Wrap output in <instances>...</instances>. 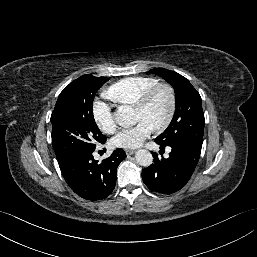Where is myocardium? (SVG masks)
<instances>
[{"label":"myocardium","instance_id":"myocardium-1","mask_svg":"<svg viewBox=\"0 0 257 257\" xmlns=\"http://www.w3.org/2000/svg\"><path fill=\"white\" fill-rule=\"evenodd\" d=\"M161 91L166 92L168 95L169 108H168V113L165 120L159 126L153 128L155 132L165 131L173 121V118L175 116L176 109H177V96H176L175 89L167 83H158L152 88H150L149 90H147L141 96L138 102L134 105L135 110H138V111L145 110L148 107V105L151 103L153 98Z\"/></svg>","mask_w":257,"mask_h":257}]
</instances>
